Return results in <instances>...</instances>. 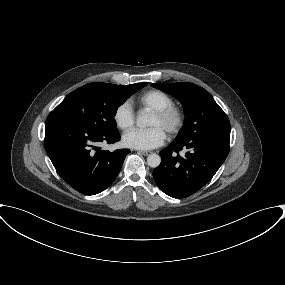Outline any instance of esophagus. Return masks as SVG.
I'll return each mask as SVG.
<instances>
[{
    "mask_svg": "<svg viewBox=\"0 0 285 285\" xmlns=\"http://www.w3.org/2000/svg\"><path fill=\"white\" fill-rule=\"evenodd\" d=\"M139 154L144 155V156H148L150 155L152 152L151 151H138Z\"/></svg>",
    "mask_w": 285,
    "mask_h": 285,
    "instance_id": "34e87169",
    "label": "esophagus"
}]
</instances>
